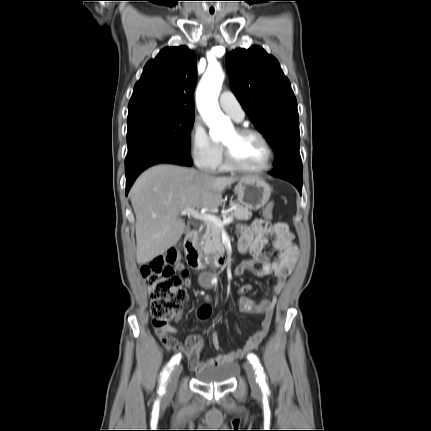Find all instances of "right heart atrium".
I'll return each instance as SVG.
<instances>
[{"instance_id":"obj_1","label":"right heart atrium","mask_w":431,"mask_h":431,"mask_svg":"<svg viewBox=\"0 0 431 431\" xmlns=\"http://www.w3.org/2000/svg\"><path fill=\"white\" fill-rule=\"evenodd\" d=\"M189 149L196 166L205 171L215 170L222 159V146L209 136L199 121H195L190 130Z\"/></svg>"}]
</instances>
